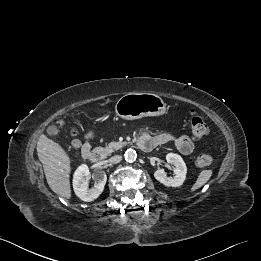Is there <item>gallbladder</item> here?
I'll use <instances>...</instances> for the list:
<instances>
[{
  "label": "gallbladder",
  "instance_id": "bac80fb5",
  "mask_svg": "<svg viewBox=\"0 0 261 261\" xmlns=\"http://www.w3.org/2000/svg\"><path fill=\"white\" fill-rule=\"evenodd\" d=\"M60 130L57 126H50L48 129H47V133L51 136H57L59 134Z\"/></svg>",
  "mask_w": 261,
  "mask_h": 261
}]
</instances>
